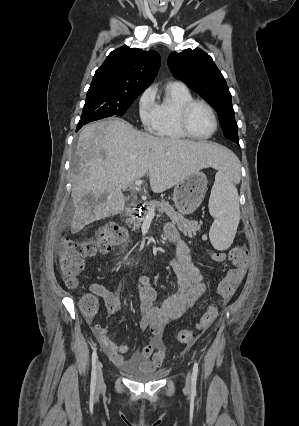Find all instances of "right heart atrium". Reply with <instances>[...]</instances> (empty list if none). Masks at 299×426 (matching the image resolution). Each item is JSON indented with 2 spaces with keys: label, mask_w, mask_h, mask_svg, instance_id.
<instances>
[{
  "label": "right heart atrium",
  "mask_w": 299,
  "mask_h": 426,
  "mask_svg": "<svg viewBox=\"0 0 299 426\" xmlns=\"http://www.w3.org/2000/svg\"><path fill=\"white\" fill-rule=\"evenodd\" d=\"M138 114L145 129L153 131L157 122V104L155 102V90L148 87L142 92L138 100Z\"/></svg>",
  "instance_id": "1"
}]
</instances>
